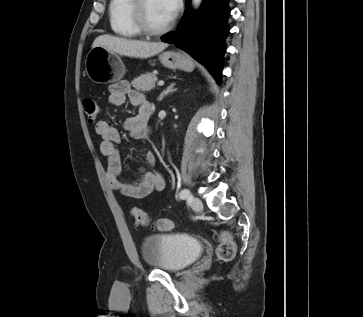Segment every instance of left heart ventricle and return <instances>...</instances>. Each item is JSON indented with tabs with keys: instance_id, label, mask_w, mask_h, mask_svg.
Instances as JSON below:
<instances>
[{
	"instance_id": "obj_1",
	"label": "left heart ventricle",
	"mask_w": 363,
	"mask_h": 317,
	"mask_svg": "<svg viewBox=\"0 0 363 317\" xmlns=\"http://www.w3.org/2000/svg\"><path fill=\"white\" fill-rule=\"evenodd\" d=\"M144 15L147 24L152 28H161L170 21L162 0H146Z\"/></svg>"
}]
</instances>
